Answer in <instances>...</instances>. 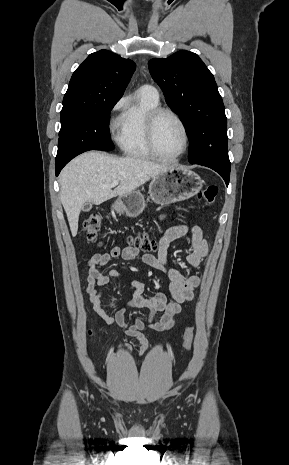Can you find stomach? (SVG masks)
Returning <instances> with one entry per match:
<instances>
[{
  "instance_id": "0dacf381",
  "label": "stomach",
  "mask_w": 289,
  "mask_h": 465,
  "mask_svg": "<svg viewBox=\"0 0 289 465\" xmlns=\"http://www.w3.org/2000/svg\"><path fill=\"white\" fill-rule=\"evenodd\" d=\"M203 180L195 172L180 166H171L152 178L149 194L155 204L167 205L193 197L202 188ZM146 206L139 191L119 196L112 208L119 214L134 218Z\"/></svg>"
}]
</instances>
